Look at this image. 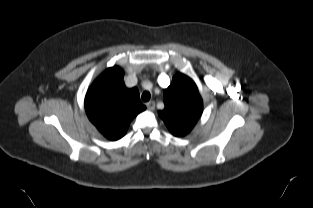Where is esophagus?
<instances>
[{"label": "esophagus", "instance_id": "esophagus-1", "mask_svg": "<svg viewBox=\"0 0 313 208\" xmlns=\"http://www.w3.org/2000/svg\"><path fill=\"white\" fill-rule=\"evenodd\" d=\"M146 107L148 108V110H154L155 108V102L154 101H149L146 103Z\"/></svg>", "mask_w": 313, "mask_h": 208}]
</instances>
